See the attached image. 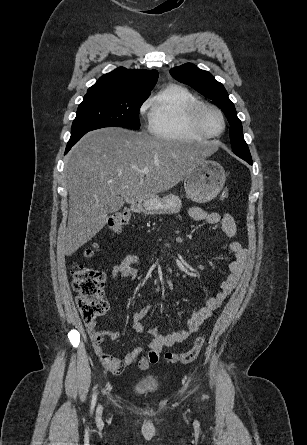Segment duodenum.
<instances>
[{
	"label": "duodenum",
	"mask_w": 307,
	"mask_h": 445,
	"mask_svg": "<svg viewBox=\"0 0 307 445\" xmlns=\"http://www.w3.org/2000/svg\"><path fill=\"white\" fill-rule=\"evenodd\" d=\"M134 210H136V211L140 210V203H136L134 205Z\"/></svg>",
	"instance_id": "410a0bca"
}]
</instances>
